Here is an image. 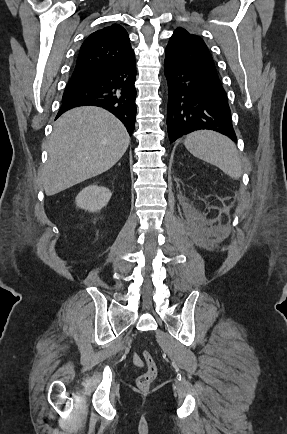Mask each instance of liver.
Instances as JSON below:
<instances>
[{
  "mask_svg": "<svg viewBox=\"0 0 287 434\" xmlns=\"http://www.w3.org/2000/svg\"><path fill=\"white\" fill-rule=\"evenodd\" d=\"M129 143L124 125L102 108L86 106L65 112L49 139L42 171L45 194L52 196L106 172L121 159Z\"/></svg>",
  "mask_w": 287,
  "mask_h": 434,
  "instance_id": "liver-1",
  "label": "liver"
}]
</instances>
